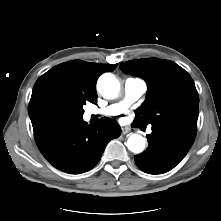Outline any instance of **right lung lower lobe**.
<instances>
[{
  "instance_id": "98d812e1",
  "label": "right lung lower lobe",
  "mask_w": 221,
  "mask_h": 221,
  "mask_svg": "<svg viewBox=\"0 0 221 221\" xmlns=\"http://www.w3.org/2000/svg\"><path fill=\"white\" fill-rule=\"evenodd\" d=\"M120 134V126L107 117L93 126L83 118H62L34 132V137L40 152L54 167L81 174L99 162L107 143Z\"/></svg>"
}]
</instances>
